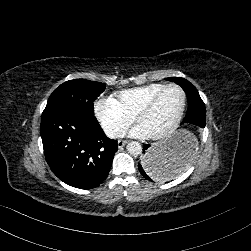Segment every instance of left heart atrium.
<instances>
[{"instance_id":"1","label":"left heart atrium","mask_w":251,"mask_h":251,"mask_svg":"<svg viewBox=\"0 0 251 251\" xmlns=\"http://www.w3.org/2000/svg\"><path fill=\"white\" fill-rule=\"evenodd\" d=\"M128 134L136 138H151L154 132L145 123L140 122L129 130Z\"/></svg>"}]
</instances>
